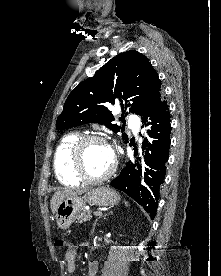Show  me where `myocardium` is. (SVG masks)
<instances>
[{"label": "myocardium", "instance_id": "f54148a6", "mask_svg": "<svg viewBox=\"0 0 221 276\" xmlns=\"http://www.w3.org/2000/svg\"><path fill=\"white\" fill-rule=\"evenodd\" d=\"M102 142L109 146L107 140L97 134H88L79 137L76 142L74 143L71 152H70V162L71 167L74 173L83 181L90 182V183H100L107 179H109L116 171L118 161L115 153L113 152V162L111 167L102 175L100 176H92L90 175L84 165V148L90 142Z\"/></svg>", "mask_w": 221, "mask_h": 276}]
</instances>
